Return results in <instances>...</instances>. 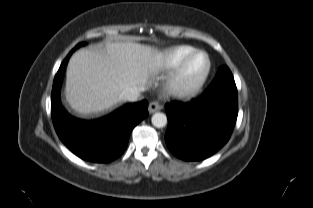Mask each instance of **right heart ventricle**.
<instances>
[{
  "label": "right heart ventricle",
  "instance_id": "right-heart-ventricle-1",
  "mask_svg": "<svg viewBox=\"0 0 313 208\" xmlns=\"http://www.w3.org/2000/svg\"><path fill=\"white\" fill-rule=\"evenodd\" d=\"M194 51L193 47L183 45L168 48L160 54L158 67L163 71H174Z\"/></svg>",
  "mask_w": 313,
  "mask_h": 208
}]
</instances>
